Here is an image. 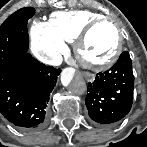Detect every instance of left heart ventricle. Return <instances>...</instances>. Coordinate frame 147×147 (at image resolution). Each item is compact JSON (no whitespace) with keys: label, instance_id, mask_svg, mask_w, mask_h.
I'll list each match as a JSON object with an SVG mask.
<instances>
[{"label":"left heart ventricle","instance_id":"b2bd125f","mask_svg":"<svg viewBox=\"0 0 147 147\" xmlns=\"http://www.w3.org/2000/svg\"><path fill=\"white\" fill-rule=\"evenodd\" d=\"M113 46V35L107 29L97 30L92 35L89 42V56L93 59L102 54H108Z\"/></svg>","mask_w":147,"mask_h":147}]
</instances>
